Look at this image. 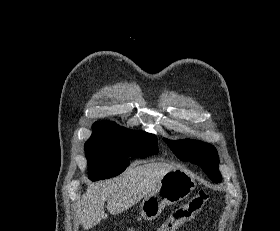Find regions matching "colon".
<instances>
[{"label":"colon","mask_w":280,"mask_h":231,"mask_svg":"<svg viewBox=\"0 0 280 231\" xmlns=\"http://www.w3.org/2000/svg\"><path fill=\"white\" fill-rule=\"evenodd\" d=\"M209 195L206 191H198L193 194L185 207L177 208L174 215L171 216L172 225H162L160 231H176L179 230V225H189V220H196L194 213H200L207 201Z\"/></svg>","instance_id":"1"}]
</instances>
